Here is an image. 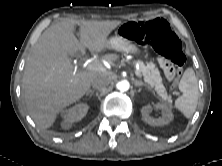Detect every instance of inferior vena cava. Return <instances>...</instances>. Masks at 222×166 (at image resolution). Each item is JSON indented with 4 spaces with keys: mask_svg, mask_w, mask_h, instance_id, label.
Returning <instances> with one entry per match:
<instances>
[{
    "mask_svg": "<svg viewBox=\"0 0 222 166\" xmlns=\"http://www.w3.org/2000/svg\"><path fill=\"white\" fill-rule=\"evenodd\" d=\"M110 82L107 77H98L92 82V87L97 90H105L110 85Z\"/></svg>",
    "mask_w": 222,
    "mask_h": 166,
    "instance_id": "1",
    "label": "inferior vena cava"
}]
</instances>
